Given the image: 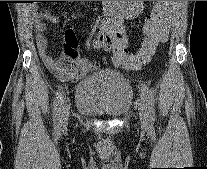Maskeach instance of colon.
<instances>
[{
	"label": "colon",
	"instance_id": "1",
	"mask_svg": "<svg viewBox=\"0 0 207 169\" xmlns=\"http://www.w3.org/2000/svg\"><path fill=\"white\" fill-rule=\"evenodd\" d=\"M171 4L172 1H154L153 7L145 20L144 39L137 53L129 54L123 41L114 42L116 35L113 31L103 30L100 27L93 43L94 47L102 50H112L113 64L129 71L138 70L149 64L159 45L167 39Z\"/></svg>",
	"mask_w": 207,
	"mask_h": 169
}]
</instances>
